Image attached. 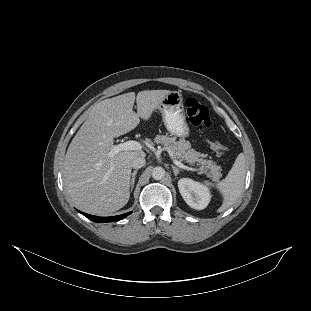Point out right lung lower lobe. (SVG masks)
<instances>
[{"instance_id": "1", "label": "right lung lower lobe", "mask_w": 311, "mask_h": 311, "mask_svg": "<svg viewBox=\"0 0 311 311\" xmlns=\"http://www.w3.org/2000/svg\"><path fill=\"white\" fill-rule=\"evenodd\" d=\"M80 212V211H78ZM81 214H83L84 216H86L88 219L94 221V222H116L119 221L123 218H125L127 215L131 214V212L129 213H125L122 215H118V216H112V217H97V216H93V215H89L83 212H80Z\"/></svg>"}]
</instances>
